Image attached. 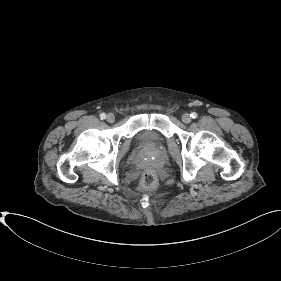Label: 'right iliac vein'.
Masks as SVG:
<instances>
[{
	"label": "right iliac vein",
	"instance_id": "right-iliac-vein-1",
	"mask_svg": "<svg viewBox=\"0 0 281 281\" xmlns=\"http://www.w3.org/2000/svg\"><path fill=\"white\" fill-rule=\"evenodd\" d=\"M107 121L109 122V123H113L114 121H115V116H114V114H112V113H109L108 115H107Z\"/></svg>",
	"mask_w": 281,
	"mask_h": 281
}]
</instances>
